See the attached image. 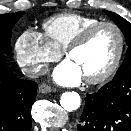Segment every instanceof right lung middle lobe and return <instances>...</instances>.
I'll list each match as a JSON object with an SVG mask.
<instances>
[{"mask_svg": "<svg viewBox=\"0 0 131 131\" xmlns=\"http://www.w3.org/2000/svg\"><path fill=\"white\" fill-rule=\"evenodd\" d=\"M23 15L24 11L0 15V53L11 52L12 28Z\"/></svg>", "mask_w": 131, "mask_h": 131, "instance_id": "right-lung-middle-lobe-1", "label": "right lung middle lobe"}]
</instances>
